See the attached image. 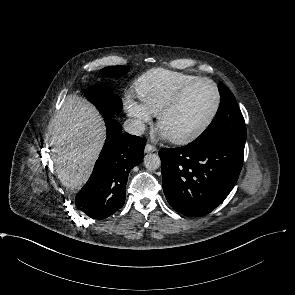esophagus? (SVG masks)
Listing matches in <instances>:
<instances>
[{"instance_id": "1", "label": "esophagus", "mask_w": 295, "mask_h": 295, "mask_svg": "<svg viewBox=\"0 0 295 295\" xmlns=\"http://www.w3.org/2000/svg\"><path fill=\"white\" fill-rule=\"evenodd\" d=\"M144 151L145 153L156 152L157 148L151 144H146Z\"/></svg>"}]
</instances>
